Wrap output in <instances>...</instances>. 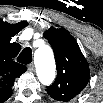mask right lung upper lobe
<instances>
[{"label": "right lung upper lobe", "mask_w": 103, "mask_h": 103, "mask_svg": "<svg viewBox=\"0 0 103 103\" xmlns=\"http://www.w3.org/2000/svg\"><path fill=\"white\" fill-rule=\"evenodd\" d=\"M27 24L26 21L9 24L0 20V93H6L8 96L11 94L15 78L27 70L26 66L14 61L20 51V45L10 43V40Z\"/></svg>", "instance_id": "cb5924a9"}]
</instances>
